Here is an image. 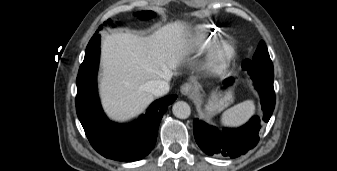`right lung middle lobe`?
I'll list each match as a JSON object with an SVG mask.
<instances>
[{
    "instance_id": "obj_1",
    "label": "right lung middle lobe",
    "mask_w": 337,
    "mask_h": 171,
    "mask_svg": "<svg viewBox=\"0 0 337 171\" xmlns=\"http://www.w3.org/2000/svg\"><path fill=\"white\" fill-rule=\"evenodd\" d=\"M134 15L135 16H140L142 18H146V16H149V17L154 16L155 13L152 12V11H140V12L134 13ZM107 23H111V20L110 19L107 20V22H105L104 24H107ZM101 28H102V25L99 27V29H101ZM98 32H99V30L96 31V33H98Z\"/></svg>"
}]
</instances>
